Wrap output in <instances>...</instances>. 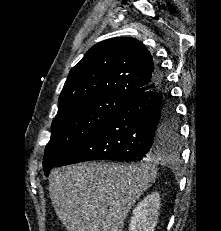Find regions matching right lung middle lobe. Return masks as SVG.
I'll return each mask as SVG.
<instances>
[{
  "mask_svg": "<svg viewBox=\"0 0 221 231\" xmlns=\"http://www.w3.org/2000/svg\"><path fill=\"white\" fill-rule=\"evenodd\" d=\"M127 101L118 96L98 95L80 99L58 110L52 122L50 141L45 148V175L92 136ZM178 130V121L173 113L172 129L165 137L171 139L176 146L179 143Z\"/></svg>",
  "mask_w": 221,
  "mask_h": 231,
  "instance_id": "obj_1",
  "label": "right lung middle lobe"
}]
</instances>
